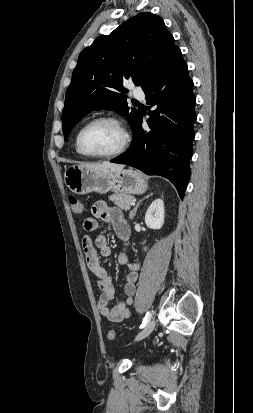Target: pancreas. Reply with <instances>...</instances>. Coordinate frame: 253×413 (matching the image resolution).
Instances as JSON below:
<instances>
[{"mask_svg": "<svg viewBox=\"0 0 253 413\" xmlns=\"http://www.w3.org/2000/svg\"><path fill=\"white\" fill-rule=\"evenodd\" d=\"M109 200L114 202L120 209L128 211L130 210V204L134 200V197L124 193H115L109 197Z\"/></svg>", "mask_w": 253, "mask_h": 413, "instance_id": "obj_1", "label": "pancreas"}]
</instances>
